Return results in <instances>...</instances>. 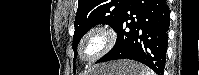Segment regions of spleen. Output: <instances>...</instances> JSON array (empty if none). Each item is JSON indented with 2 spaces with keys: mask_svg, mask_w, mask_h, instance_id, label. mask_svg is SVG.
<instances>
[{
  "mask_svg": "<svg viewBox=\"0 0 199 75\" xmlns=\"http://www.w3.org/2000/svg\"><path fill=\"white\" fill-rule=\"evenodd\" d=\"M141 75H155L152 70L147 67H142Z\"/></svg>",
  "mask_w": 199,
  "mask_h": 75,
  "instance_id": "1",
  "label": "spleen"
}]
</instances>
